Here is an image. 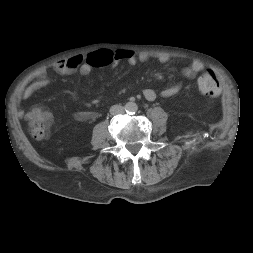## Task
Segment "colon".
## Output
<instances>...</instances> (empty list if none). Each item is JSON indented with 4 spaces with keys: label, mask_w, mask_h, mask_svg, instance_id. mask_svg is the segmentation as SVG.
I'll use <instances>...</instances> for the list:
<instances>
[{
    "label": "colon",
    "mask_w": 253,
    "mask_h": 253,
    "mask_svg": "<svg viewBox=\"0 0 253 253\" xmlns=\"http://www.w3.org/2000/svg\"><path fill=\"white\" fill-rule=\"evenodd\" d=\"M198 89L205 95L218 96L221 92L220 84L212 71H206L197 80ZM49 134L48 129L42 124H36L32 129V135L37 140L45 139Z\"/></svg>",
    "instance_id": "5ec220e1"
}]
</instances>
